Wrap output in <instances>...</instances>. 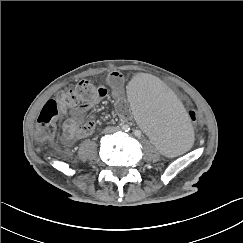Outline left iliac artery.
Wrapping results in <instances>:
<instances>
[{
  "instance_id": "1",
  "label": "left iliac artery",
  "mask_w": 243,
  "mask_h": 243,
  "mask_svg": "<svg viewBox=\"0 0 243 243\" xmlns=\"http://www.w3.org/2000/svg\"><path fill=\"white\" fill-rule=\"evenodd\" d=\"M135 134L138 135L137 131H135Z\"/></svg>"
}]
</instances>
